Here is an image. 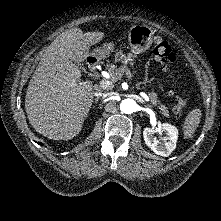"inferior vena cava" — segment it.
<instances>
[{"mask_svg": "<svg viewBox=\"0 0 221 221\" xmlns=\"http://www.w3.org/2000/svg\"><path fill=\"white\" fill-rule=\"evenodd\" d=\"M96 95H102L101 93H95ZM103 96L105 97V96H107L106 94H103Z\"/></svg>", "mask_w": 221, "mask_h": 221, "instance_id": "1", "label": "inferior vena cava"}]
</instances>
